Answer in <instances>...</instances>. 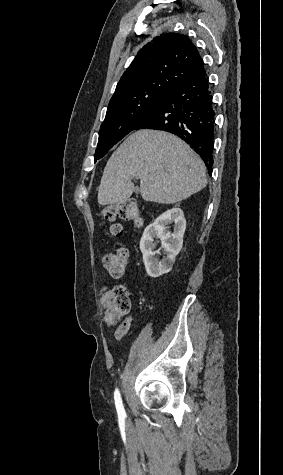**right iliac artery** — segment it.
I'll use <instances>...</instances> for the list:
<instances>
[{"instance_id": "82829eb1", "label": "right iliac artery", "mask_w": 283, "mask_h": 475, "mask_svg": "<svg viewBox=\"0 0 283 475\" xmlns=\"http://www.w3.org/2000/svg\"><path fill=\"white\" fill-rule=\"evenodd\" d=\"M114 399H115V405H116V410H117L118 416L119 417H126V413H125V410H124V407H123V404H122V399H121V396H120V393H119L118 389L115 390Z\"/></svg>"}]
</instances>
